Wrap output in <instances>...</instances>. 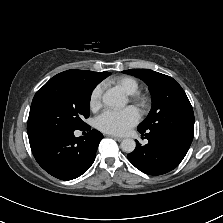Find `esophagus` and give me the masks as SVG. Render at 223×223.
<instances>
[{
	"label": "esophagus",
	"instance_id": "esophagus-1",
	"mask_svg": "<svg viewBox=\"0 0 223 223\" xmlns=\"http://www.w3.org/2000/svg\"><path fill=\"white\" fill-rule=\"evenodd\" d=\"M107 136L110 137V138H113V139H115V140H117L119 142L123 140V138L115 136V135L108 134Z\"/></svg>",
	"mask_w": 223,
	"mask_h": 223
}]
</instances>
